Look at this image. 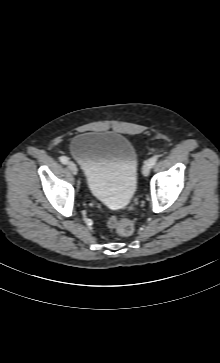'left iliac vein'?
<instances>
[{"instance_id": "obj_1", "label": "left iliac vein", "mask_w": 220, "mask_h": 363, "mask_svg": "<svg viewBox=\"0 0 220 363\" xmlns=\"http://www.w3.org/2000/svg\"><path fill=\"white\" fill-rule=\"evenodd\" d=\"M151 167L148 163V161H146L142 167V173L145 177H147L150 173Z\"/></svg>"}]
</instances>
